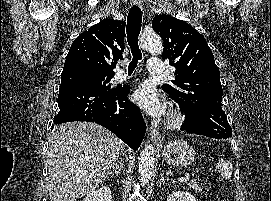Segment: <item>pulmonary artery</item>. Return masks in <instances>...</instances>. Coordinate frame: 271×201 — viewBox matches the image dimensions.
<instances>
[{
    "label": "pulmonary artery",
    "mask_w": 271,
    "mask_h": 201,
    "mask_svg": "<svg viewBox=\"0 0 271 201\" xmlns=\"http://www.w3.org/2000/svg\"><path fill=\"white\" fill-rule=\"evenodd\" d=\"M148 71L151 74H162L164 71V62L161 58L151 57L148 63ZM129 77L123 72L119 71L114 77L115 82H125Z\"/></svg>",
    "instance_id": "e3ab8cb5"
}]
</instances>
